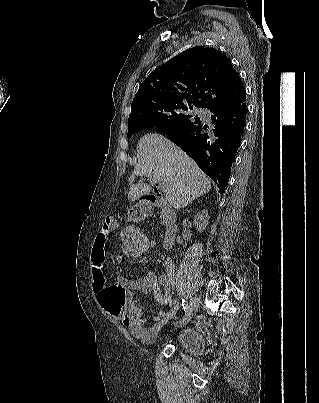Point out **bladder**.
<instances>
[{
    "mask_svg": "<svg viewBox=\"0 0 319 403\" xmlns=\"http://www.w3.org/2000/svg\"><path fill=\"white\" fill-rule=\"evenodd\" d=\"M164 325L167 328L166 333L169 339L179 351L193 358H200L202 356L204 336L201 330L196 328H176L174 321L170 319Z\"/></svg>",
    "mask_w": 319,
    "mask_h": 403,
    "instance_id": "obj_1",
    "label": "bladder"
}]
</instances>
